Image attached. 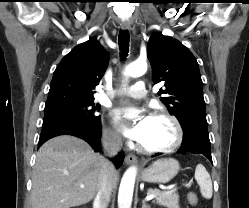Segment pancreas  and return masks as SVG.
Instances as JSON below:
<instances>
[{"mask_svg":"<svg viewBox=\"0 0 249 208\" xmlns=\"http://www.w3.org/2000/svg\"><path fill=\"white\" fill-rule=\"evenodd\" d=\"M147 194L156 195V203L165 206L167 208H180L179 207V195L176 193H166L159 189H148ZM155 202V201H154Z\"/></svg>","mask_w":249,"mask_h":208,"instance_id":"obj_1","label":"pancreas"}]
</instances>
